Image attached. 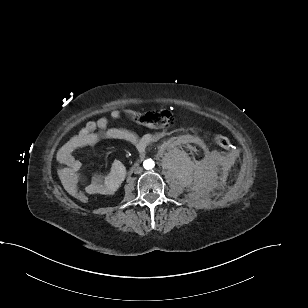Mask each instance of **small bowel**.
Segmentation results:
<instances>
[{"instance_id":"1","label":"small bowel","mask_w":308,"mask_h":308,"mask_svg":"<svg viewBox=\"0 0 308 308\" xmlns=\"http://www.w3.org/2000/svg\"><path fill=\"white\" fill-rule=\"evenodd\" d=\"M111 119H118L121 111L114 109L109 113ZM159 134L148 133L142 136L137 135L125 128L109 127V119L101 116L96 120L88 121L85 126L57 152V160L65 166L64 175L66 176L67 189L71 194L80 190V169L81 162L74 156V152L85 146H92L102 139H113L125 141L132 144L139 150H144L149 144L156 141ZM126 174L124 164L115 160L112 163L109 173L104 176H95L83 187L88 195H111L122 183Z\"/></svg>"}]
</instances>
